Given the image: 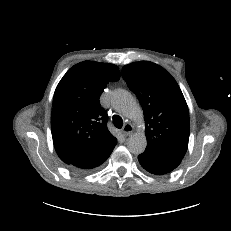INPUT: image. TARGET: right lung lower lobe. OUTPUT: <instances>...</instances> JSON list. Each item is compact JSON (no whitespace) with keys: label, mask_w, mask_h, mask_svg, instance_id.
Returning a JSON list of instances; mask_svg holds the SVG:
<instances>
[{"label":"right lung lower lobe","mask_w":231,"mask_h":231,"mask_svg":"<svg viewBox=\"0 0 231 231\" xmlns=\"http://www.w3.org/2000/svg\"><path fill=\"white\" fill-rule=\"evenodd\" d=\"M115 145L109 148L104 153L100 154L99 156H96L93 158L70 161V162H67L66 164H68L69 168H71L72 170H76V171H86V170L95 168L101 165L102 163H104L108 159Z\"/></svg>","instance_id":"1"}]
</instances>
